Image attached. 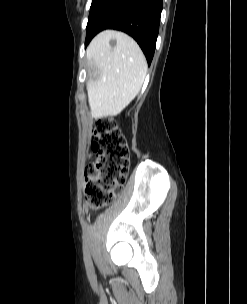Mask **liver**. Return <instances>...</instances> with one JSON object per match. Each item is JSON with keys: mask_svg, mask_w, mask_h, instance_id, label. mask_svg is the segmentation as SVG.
<instances>
[{"mask_svg": "<svg viewBox=\"0 0 247 304\" xmlns=\"http://www.w3.org/2000/svg\"><path fill=\"white\" fill-rule=\"evenodd\" d=\"M116 40L114 48L110 40ZM86 56L91 70L87 84L91 116L121 113L139 93L147 63L138 44L125 33L106 30L89 44Z\"/></svg>", "mask_w": 247, "mask_h": 304, "instance_id": "1", "label": "liver"}]
</instances>
